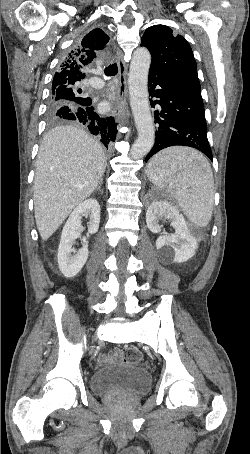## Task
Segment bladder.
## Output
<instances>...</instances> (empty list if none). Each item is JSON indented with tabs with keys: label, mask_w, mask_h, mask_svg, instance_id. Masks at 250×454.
Masks as SVG:
<instances>
[{
	"label": "bladder",
	"mask_w": 250,
	"mask_h": 454,
	"mask_svg": "<svg viewBox=\"0 0 250 454\" xmlns=\"http://www.w3.org/2000/svg\"><path fill=\"white\" fill-rule=\"evenodd\" d=\"M90 388L97 396H141L149 392L151 376L145 368L136 364L118 363L93 372Z\"/></svg>",
	"instance_id": "obj_1"
}]
</instances>
